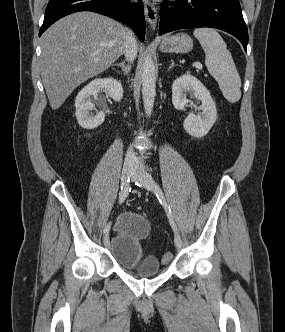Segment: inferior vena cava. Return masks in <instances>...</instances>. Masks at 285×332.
<instances>
[{
	"mask_svg": "<svg viewBox=\"0 0 285 332\" xmlns=\"http://www.w3.org/2000/svg\"><path fill=\"white\" fill-rule=\"evenodd\" d=\"M125 57L128 61L132 62L136 55H137V43L134 37V34L131 30L127 29V34H126V43H125ZM137 157L135 152L133 151L132 148H129L126 157H125V163L127 164H133L136 162Z\"/></svg>",
	"mask_w": 285,
	"mask_h": 332,
	"instance_id": "inferior-vena-cava-1",
	"label": "inferior vena cava"
}]
</instances>
